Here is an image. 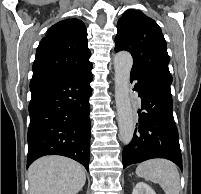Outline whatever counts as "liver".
I'll use <instances>...</instances> for the list:
<instances>
[{"mask_svg": "<svg viewBox=\"0 0 201 194\" xmlns=\"http://www.w3.org/2000/svg\"><path fill=\"white\" fill-rule=\"evenodd\" d=\"M29 194H77L85 184V170L62 156H45L28 170Z\"/></svg>", "mask_w": 201, "mask_h": 194, "instance_id": "6515ba94", "label": "liver"}]
</instances>
